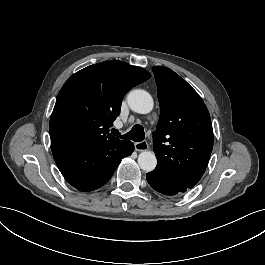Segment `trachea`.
<instances>
[{
    "label": "trachea",
    "mask_w": 265,
    "mask_h": 265,
    "mask_svg": "<svg viewBox=\"0 0 265 265\" xmlns=\"http://www.w3.org/2000/svg\"><path fill=\"white\" fill-rule=\"evenodd\" d=\"M111 132L114 135L120 136V133L116 129H112ZM124 139H130L135 142H141L145 138V132L144 128L141 125H134L132 129L127 133L126 135L123 136Z\"/></svg>",
    "instance_id": "3493384b"
}]
</instances>
